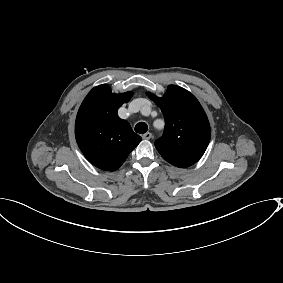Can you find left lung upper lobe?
I'll use <instances>...</instances> for the list:
<instances>
[{
	"label": "left lung upper lobe",
	"instance_id": "obj_1",
	"mask_svg": "<svg viewBox=\"0 0 283 283\" xmlns=\"http://www.w3.org/2000/svg\"><path fill=\"white\" fill-rule=\"evenodd\" d=\"M165 118L163 136L155 141L161 156L170 164L186 168L204 154L211 137L208 118L194 95L169 85L163 97L148 94Z\"/></svg>",
	"mask_w": 283,
	"mask_h": 283
}]
</instances>
